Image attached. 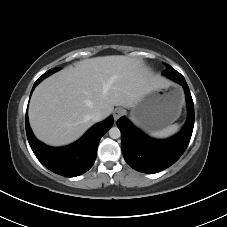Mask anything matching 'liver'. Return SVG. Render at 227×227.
Segmentation results:
<instances>
[{"instance_id": "obj_1", "label": "liver", "mask_w": 227, "mask_h": 227, "mask_svg": "<svg viewBox=\"0 0 227 227\" xmlns=\"http://www.w3.org/2000/svg\"><path fill=\"white\" fill-rule=\"evenodd\" d=\"M161 80L140 59L122 55L82 60L42 81L29 105V121L35 136L51 146H63L80 138L101 111L108 117L114 106L132 108Z\"/></svg>"}]
</instances>
